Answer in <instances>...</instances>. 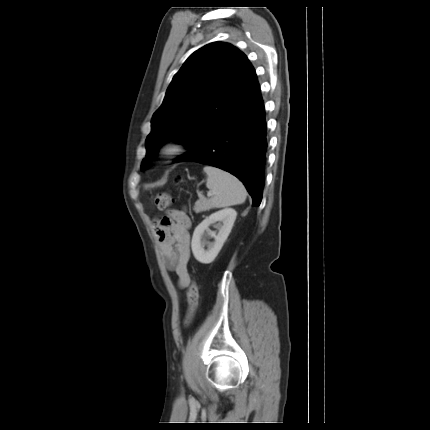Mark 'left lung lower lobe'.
Segmentation results:
<instances>
[{
	"label": "left lung lower lobe",
	"mask_w": 430,
	"mask_h": 430,
	"mask_svg": "<svg viewBox=\"0 0 430 430\" xmlns=\"http://www.w3.org/2000/svg\"><path fill=\"white\" fill-rule=\"evenodd\" d=\"M267 138L260 87L221 120H211L196 132L188 152L175 162L211 165L236 176L259 206L264 187Z\"/></svg>",
	"instance_id": "0a47b994"
}]
</instances>
